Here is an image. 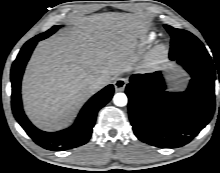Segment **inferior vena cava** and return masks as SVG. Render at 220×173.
<instances>
[{"label": "inferior vena cava", "mask_w": 220, "mask_h": 173, "mask_svg": "<svg viewBox=\"0 0 220 173\" xmlns=\"http://www.w3.org/2000/svg\"><path fill=\"white\" fill-rule=\"evenodd\" d=\"M110 82H111L110 79L100 77V78H96L95 80H93L91 83V86L93 89L99 90L103 88L104 86H106L107 84H109Z\"/></svg>", "instance_id": "obj_1"}]
</instances>
